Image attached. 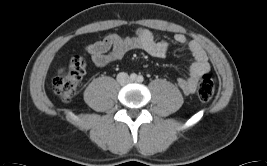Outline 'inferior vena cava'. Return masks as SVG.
Masks as SVG:
<instances>
[{
	"label": "inferior vena cava",
	"mask_w": 267,
	"mask_h": 166,
	"mask_svg": "<svg viewBox=\"0 0 267 166\" xmlns=\"http://www.w3.org/2000/svg\"><path fill=\"white\" fill-rule=\"evenodd\" d=\"M117 81L119 84L125 85L130 81L129 75L127 73L121 72L117 75Z\"/></svg>",
	"instance_id": "602c4592"
}]
</instances>
